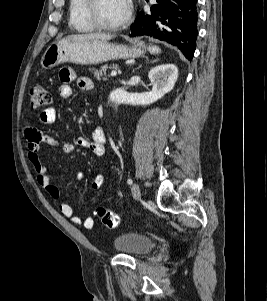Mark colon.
Wrapping results in <instances>:
<instances>
[{
    "label": "colon",
    "instance_id": "colon-1",
    "mask_svg": "<svg viewBox=\"0 0 267 301\" xmlns=\"http://www.w3.org/2000/svg\"><path fill=\"white\" fill-rule=\"evenodd\" d=\"M51 102L50 93L41 85H33L30 88V104L31 108L39 109L44 106L49 105ZM102 178L98 176L93 183V186L96 188L101 183ZM98 216L101 219L102 223L109 229H114L119 224V217L113 211L106 208L98 209Z\"/></svg>",
    "mask_w": 267,
    "mask_h": 301
}]
</instances>
